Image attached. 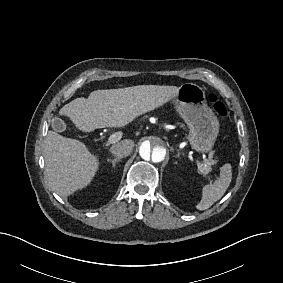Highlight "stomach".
<instances>
[{
  "label": "stomach",
  "instance_id": "0dacf381",
  "mask_svg": "<svg viewBox=\"0 0 283 283\" xmlns=\"http://www.w3.org/2000/svg\"><path fill=\"white\" fill-rule=\"evenodd\" d=\"M176 111L189 128L187 137L198 152L212 149L219 132V121L208 107L204 90L193 83H185L173 99Z\"/></svg>",
  "mask_w": 283,
  "mask_h": 283
}]
</instances>
